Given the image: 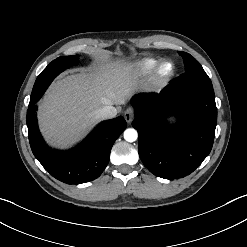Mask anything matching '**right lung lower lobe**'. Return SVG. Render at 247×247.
<instances>
[{"label":"right lung lower lobe","mask_w":247,"mask_h":247,"mask_svg":"<svg viewBox=\"0 0 247 247\" xmlns=\"http://www.w3.org/2000/svg\"><path fill=\"white\" fill-rule=\"evenodd\" d=\"M42 95L30 101L27 110L28 136L34 156L53 177L66 184L95 180L106 168L114 142L126 129L125 120L117 117L102 122L77 147L53 150L45 144L38 129L36 103Z\"/></svg>","instance_id":"right-lung-lower-lobe-1"}]
</instances>
